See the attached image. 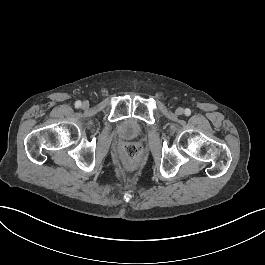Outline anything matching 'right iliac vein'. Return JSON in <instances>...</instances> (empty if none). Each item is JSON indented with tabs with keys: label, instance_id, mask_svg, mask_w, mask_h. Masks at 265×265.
I'll return each instance as SVG.
<instances>
[{
	"label": "right iliac vein",
	"instance_id": "obj_1",
	"mask_svg": "<svg viewBox=\"0 0 265 265\" xmlns=\"http://www.w3.org/2000/svg\"><path fill=\"white\" fill-rule=\"evenodd\" d=\"M89 107V103L87 102V101H84L83 103H82V108L83 109H86V108H88Z\"/></svg>",
	"mask_w": 265,
	"mask_h": 265
}]
</instances>
